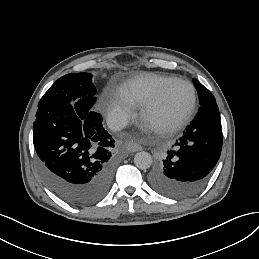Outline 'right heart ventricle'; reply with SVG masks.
<instances>
[{"instance_id":"obj_1","label":"right heart ventricle","mask_w":259,"mask_h":259,"mask_svg":"<svg viewBox=\"0 0 259 259\" xmlns=\"http://www.w3.org/2000/svg\"><path fill=\"white\" fill-rule=\"evenodd\" d=\"M174 77L172 74L150 73L135 78L123 86L124 93L137 103L144 105L154 97L161 85L168 79Z\"/></svg>"}]
</instances>
